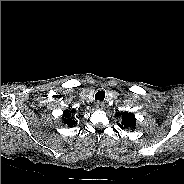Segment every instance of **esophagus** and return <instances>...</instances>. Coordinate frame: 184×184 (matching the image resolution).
I'll return each instance as SVG.
<instances>
[{
  "instance_id": "obj_1",
  "label": "esophagus",
  "mask_w": 184,
  "mask_h": 184,
  "mask_svg": "<svg viewBox=\"0 0 184 184\" xmlns=\"http://www.w3.org/2000/svg\"><path fill=\"white\" fill-rule=\"evenodd\" d=\"M96 108L102 110L104 108V102L102 101L96 102Z\"/></svg>"
}]
</instances>
